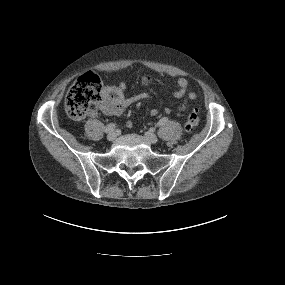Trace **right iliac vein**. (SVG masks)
Listing matches in <instances>:
<instances>
[{
    "instance_id": "obj_1",
    "label": "right iliac vein",
    "mask_w": 285,
    "mask_h": 285,
    "mask_svg": "<svg viewBox=\"0 0 285 285\" xmlns=\"http://www.w3.org/2000/svg\"><path fill=\"white\" fill-rule=\"evenodd\" d=\"M116 137H117V133L114 132V131H111V132L108 133V135H107V139H108L109 141H114V140L116 139Z\"/></svg>"
}]
</instances>
